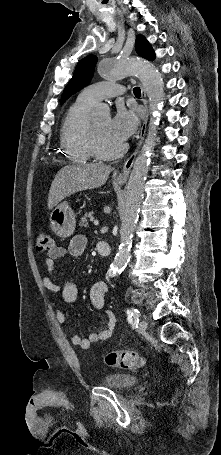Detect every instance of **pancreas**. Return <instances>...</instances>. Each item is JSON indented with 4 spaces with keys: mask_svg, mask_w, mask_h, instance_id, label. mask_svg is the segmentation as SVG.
<instances>
[{
    "mask_svg": "<svg viewBox=\"0 0 221 455\" xmlns=\"http://www.w3.org/2000/svg\"><path fill=\"white\" fill-rule=\"evenodd\" d=\"M93 219H94L93 211H90L89 213H86V214H84V216H82L78 226L87 227L89 224V221H92Z\"/></svg>",
    "mask_w": 221,
    "mask_h": 455,
    "instance_id": "1",
    "label": "pancreas"
}]
</instances>
